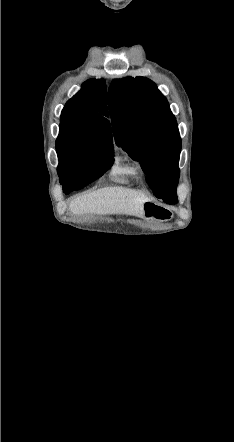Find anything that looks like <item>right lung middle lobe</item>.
Segmentation results:
<instances>
[{"label": "right lung middle lobe", "mask_w": 234, "mask_h": 442, "mask_svg": "<svg viewBox=\"0 0 234 442\" xmlns=\"http://www.w3.org/2000/svg\"><path fill=\"white\" fill-rule=\"evenodd\" d=\"M57 168L63 190H79L99 178L113 164V147L109 143H91L71 129L60 125L56 141Z\"/></svg>", "instance_id": "1"}]
</instances>
